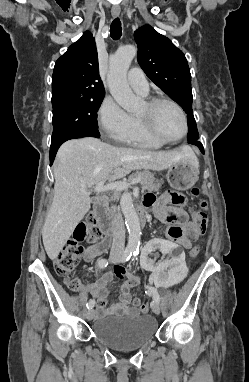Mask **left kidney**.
I'll list each match as a JSON object with an SVG mask.
<instances>
[{
  "instance_id": "5707ae66",
  "label": "left kidney",
  "mask_w": 249,
  "mask_h": 382,
  "mask_svg": "<svg viewBox=\"0 0 249 382\" xmlns=\"http://www.w3.org/2000/svg\"><path fill=\"white\" fill-rule=\"evenodd\" d=\"M173 240L164 237H152L147 245H142L143 254H139L138 267H143L144 273H151L150 282L155 287H180L182 281L189 276V266H186L185 253L181 245H174ZM154 257H164L166 260H153Z\"/></svg>"
}]
</instances>
